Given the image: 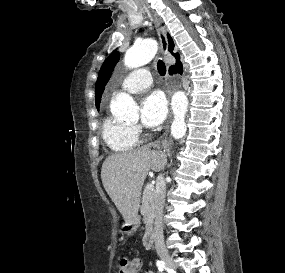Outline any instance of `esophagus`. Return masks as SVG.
I'll use <instances>...</instances> for the list:
<instances>
[{
  "label": "esophagus",
  "instance_id": "34e87169",
  "mask_svg": "<svg viewBox=\"0 0 285 273\" xmlns=\"http://www.w3.org/2000/svg\"><path fill=\"white\" fill-rule=\"evenodd\" d=\"M155 25L160 41V51L165 56L168 54V39H167V33L166 28L162 26L161 22L157 19L155 20Z\"/></svg>",
  "mask_w": 285,
  "mask_h": 273
}]
</instances>
